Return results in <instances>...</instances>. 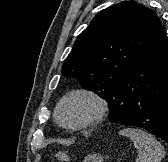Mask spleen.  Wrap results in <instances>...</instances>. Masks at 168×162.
<instances>
[{
	"label": "spleen",
	"mask_w": 168,
	"mask_h": 162,
	"mask_svg": "<svg viewBox=\"0 0 168 162\" xmlns=\"http://www.w3.org/2000/svg\"><path fill=\"white\" fill-rule=\"evenodd\" d=\"M120 135L129 137L134 146L141 150L136 162H161L165 155V150L155 137L136 128H126L119 132Z\"/></svg>",
	"instance_id": "obj_1"
}]
</instances>
